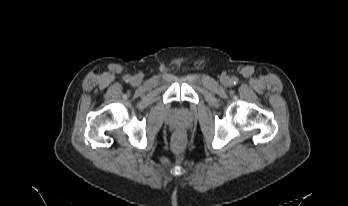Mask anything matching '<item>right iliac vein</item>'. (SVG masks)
<instances>
[{"instance_id": "1", "label": "right iliac vein", "mask_w": 348, "mask_h": 206, "mask_svg": "<svg viewBox=\"0 0 348 206\" xmlns=\"http://www.w3.org/2000/svg\"><path fill=\"white\" fill-rule=\"evenodd\" d=\"M132 83L134 85H139L141 83V78L140 77H134L132 80Z\"/></svg>"}]
</instances>
